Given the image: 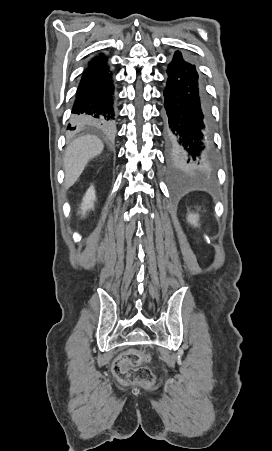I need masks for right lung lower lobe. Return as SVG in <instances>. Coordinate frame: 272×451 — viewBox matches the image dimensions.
Listing matches in <instances>:
<instances>
[{
  "mask_svg": "<svg viewBox=\"0 0 272 451\" xmlns=\"http://www.w3.org/2000/svg\"><path fill=\"white\" fill-rule=\"evenodd\" d=\"M115 87L104 54L95 56L82 74L68 130L76 127L111 132L117 121Z\"/></svg>",
  "mask_w": 272,
  "mask_h": 451,
  "instance_id": "obj_1",
  "label": "right lung lower lobe"
}]
</instances>
